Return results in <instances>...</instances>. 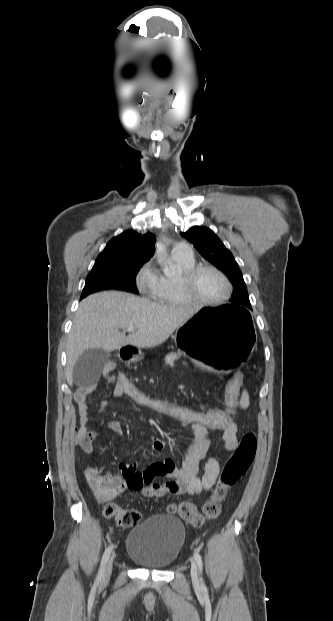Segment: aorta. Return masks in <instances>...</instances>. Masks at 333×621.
Returning <instances> with one entry per match:
<instances>
[{"label": "aorta", "mask_w": 333, "mask_h": 621, "mask_svg": "<svg viewBox=\"0 0 333 621\" xmlns=\"http://www.w3.org/2000/svg\"><path fill=\"white\" fill-rule=\"evenodd\" d=\"M161 249H162V247H159V248H158V250H161Z\"/></svg>", "instance_id": "762f6f07"}]
</instances>
